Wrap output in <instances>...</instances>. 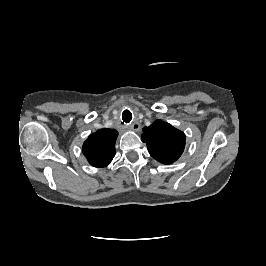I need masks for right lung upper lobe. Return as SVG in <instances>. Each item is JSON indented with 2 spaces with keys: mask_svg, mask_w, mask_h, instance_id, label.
<instances>
[{
  "mask_svg": "<svg viewBox=\"0 0 266 266\" xmlns=\"http://www.w3.org/2000/svg\"><path fill=\"white\" fill-rule=\"evenodd\" d=\"M117 136L114 129H100L87 138L82 151L92 166L102 168L112 161Z\"/></svg>",
  "mask_w": 266,
  "mask_h": 266,
  "instance_id": "1",
  "label": "right lung upper lobe"
}]
</instances>
